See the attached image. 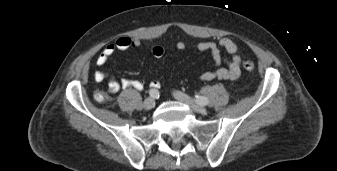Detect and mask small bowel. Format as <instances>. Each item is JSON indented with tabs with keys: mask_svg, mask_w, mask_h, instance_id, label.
Masks as SVG:
<instances>
[{
	"mask_svg": "<svg viewBox=\"0 0 337 171\" xmlns=\"http://www.w3.org/2000/svg\"><path fill=\"white\" fill-rule=\"evenodd\" d=\"M141 46V41L138 38L120 36L114 42L107 44L101 53L96 58L98 66L105 65L108 60L117 51H127L137 49ZM178 50H184L186 45L179 41L176 44ZM194 48L198 51H206L211 54L215 64V70L205 71L200 74L199 78L202 81L219 80H236L241 75V57L239 55L238 44L230 38H222L218 42L204 41L197 43ZM152 54L159 58L163 55L164 50L160 46H154L151 49ZM228 53L231 58L227 59L224 53ZM96 82L108 81V90L110 93H117L120 89L133 88L135 90H142L143 84L137 80L121 79L120 81L114 79L105 71H96L94 73ZM161 83L158 80L151 82L153 89H159Z\"/></svg>",
	"mask_w": 337,
	"mask_h": 171,
	"instance_id": "1",
	"label": "small bowel"
}]
</instances>
